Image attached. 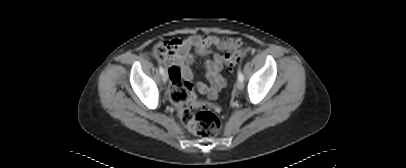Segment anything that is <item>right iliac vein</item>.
<instances>
[{"label":"right iliac vein","instance_id":"1","mask_svg":"<svg viewBox=\"0 0 406 168\" xmlns=\"http://www.w3.org/2000/svg\"><path fill=\"white\" fill-rule=\"evenodd\" d=\"M167 80H168V74H167L166 71H164V72L162 73V81H163L164 83H166Z\"/></svg>","mask_w":406,"mask_h":168}]
</instances>
